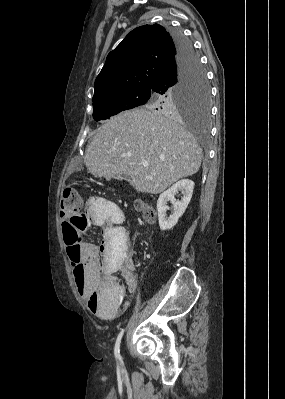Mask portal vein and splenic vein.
Masks as SVG:
<instances>
[{
  "label": "portal vein and splenic vein",
  "instance_id": "1",
  "mask_svg": "<svg viewBox=\"0 0 285 399\" xmlns=\"http://www.w3.org/2000/svg\"><path fill=\"white\" fill-rule=\"evenodd\" d=\"M143 166L144 167H148V163H143Z\"/></svg>",
  "mask_w": 285,
  "mask_h": 399
}]
</instances>
